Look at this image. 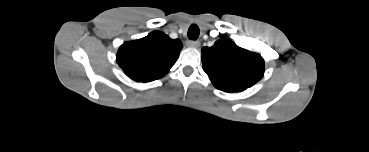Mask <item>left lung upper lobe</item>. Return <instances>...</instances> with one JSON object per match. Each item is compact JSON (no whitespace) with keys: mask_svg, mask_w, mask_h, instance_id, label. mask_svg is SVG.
Returning <instances> with one entry per match:
<instances>
[{"mask_svg":"<svg viewBox=\"0 0 369 152\" xmlns=\"http://www.w3.org/2000/svg\"><path fill=\"white\" fill-rule=\"evenodd\" d=\"M202 64L214 86L229 93L251 87L264 74V60L259 54L226 38L202 48Z\"/></svg>","mask_w":369,"mask_h":152,"instance_id":"1","label":"left lung upper lobe"}]
</instances>
